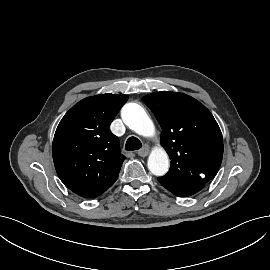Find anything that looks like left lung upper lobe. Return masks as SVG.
<instances>
[{
    "label": "left lung upper lobe",
    "mask_w": 270,
    "mask_h": 270,
    "mask_svg": "<svg viewBox=\"0 0 270 270\" xmlns=\"http://www.w3.org/2000/svg\"><path fill=\"white\" fill-rule=\"evenodd\" d=\"M161 128L169 172L158 181L170 192H197L217 174L223 155L221 130L210 111L182 93L160 91L143 97Z\"/></svg>",
    "instance_id": "left-lung-upper-lobe-1"
}]
</instances>
